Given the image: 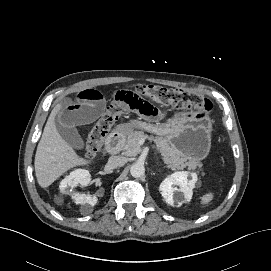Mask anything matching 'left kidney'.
Segmentation results:
<instances>
[{
  "instance_id": "1",
  "label": "left kidney",
  "mask_w": 271,
  "mask_h": 271,
  "mask_svg": "<svg viewBox=\"0 0 271 271\" xmlns=\"http://www.w3.org/2000/svg\"><path fill=\"white\" fill-rule=\"evenodd\" d=\"M196 181L197 175L195 173L175 172L160 184L159 191L167 204L181 206L182 203L192 198Z\"/></svg>"
}]
</instances>
